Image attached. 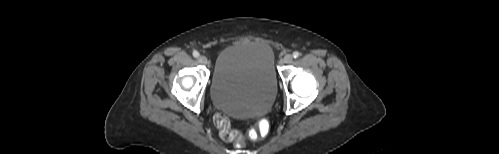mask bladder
<instances>
[{
    "label": "bladder",
    "instance_id": "1",
    "mask_svg": "<svg viewBox=\"0 0 499 154\" xmlns=\"http://www.w3.org/2000/svg\"><path fill=\"white\" fill-rule=\"evenodd\" d=\"M277 92L272 47L264 42H239L220 51L210 86L212 102L235 117L265 113Z\"/></svg>",
    "mask_w": 499,
    "mask_h": 154
}]
</instances>
